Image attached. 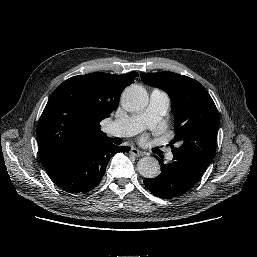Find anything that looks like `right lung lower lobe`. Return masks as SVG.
Wrapping results in <instances>:
<instances>
[{"label": "right lung lower lobe", "mask_w": 257, "mask_h": 257, "mask_svg": "<svg viewBox=\"0 0 257 257\" xmlns=\"http://www.w3.org/2000/svg\"><path fill=\"white\" fill-rule=\"evenodd\" d=\"M129 150V147L114 146L108 139L68 150L43 166L53 182L64 191L86 193L100 183L110 158L117 152Z\"/></svg>", "instance_id": "1"}]
</instances>
